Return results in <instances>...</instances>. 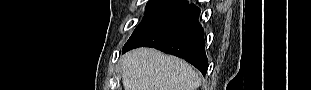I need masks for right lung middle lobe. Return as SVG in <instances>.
Instances as JSON below:
<instances>
[{"instance_id": "dd1d6c3e", "label": "right lung middle lobe", "mask_w": 311, "mask_h": 90, "mask_svg": "<svg viewBox=\"0 0 311 90\" xmlns=\"http://www.w3.org/2000/svg\"><path fill=\"white\" fill-rule=\"evenodd\" d=\"M188 6L186 0H150L143 20L126 44L136 42L176 17Z\"/></svg>"}]
</instances>
